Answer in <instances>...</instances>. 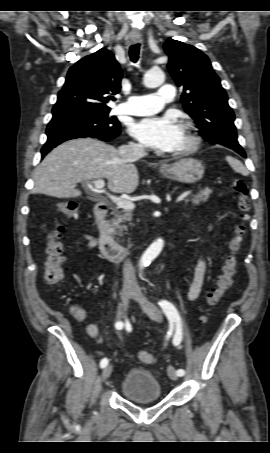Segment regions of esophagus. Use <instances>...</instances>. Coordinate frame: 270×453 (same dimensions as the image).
<instances>
[{
  "mask_svg": "<svg viewBox=\"0 0 270 453\" xmlns=\"http://www.w3.org/2000/svg\"><path fill=\"white\" fill-rule=\"evenodd\" d=\"M133 41H134V42H140V41H141V38H139V37L133 38ZM162 166H164V164H162Z\"/></svg>",
  "mask_w": 270,
  "mask_h": 453,
  "instance_id": "esophagus-1",
  "label": "esophagus"
}]
</instances>
